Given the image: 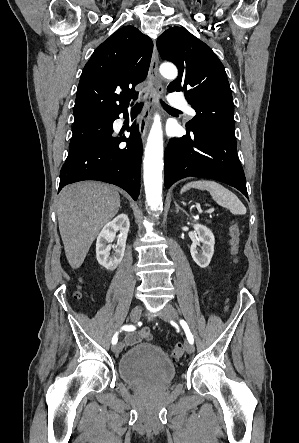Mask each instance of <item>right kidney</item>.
<instances>
[{
	"label": "right kidney",
	"mask_w": 299,
	"mask_h": 443,
	"mask_svg": "<svg viewBox=\"0 0 299 443\" xmlns=\"http://www.w3.org/2000/svg\"><path fill=\"white\" fill-rule=\"evenodd\" d=\"M130 227V222L126 214H120L111 222H108L96 241V257L100 265L107 270H114L120 264L124 257L127 235ZM120 230L121 236L118 239L117 245L114 248L115 253L110 254L111 243L113 242L116 231Z\"/></svg>",
	"instance_id": "right-kidney-1"
}]
</instances>
